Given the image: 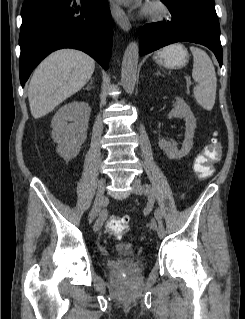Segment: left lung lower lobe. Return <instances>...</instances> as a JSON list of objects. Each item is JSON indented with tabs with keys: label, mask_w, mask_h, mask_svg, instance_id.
<instances>
[{
	"label": "left lung lower lobe",
	"mask_w": 245,
	"mask_h": 319,
	"mask_svg": "<svg viewBox=\"0 0 245 319\" xmlns=\"http://www.w3.org/2000/svg\"><path fill=\"white\" fill-rule=\"evenodd\" d=\"M170 21L147 24L141 28L139 54L145 55L168 44L192 42L202 44L214 52L222 66L223 50L220 26L216 13L191 4H170Z\"/></svg>",
	"instance_id": "left-lung-lower-lobe-1"
}]
</instances>
